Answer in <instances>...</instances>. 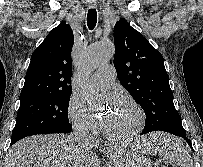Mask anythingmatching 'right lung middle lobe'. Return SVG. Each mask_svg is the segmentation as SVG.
Masks as SVG:
<instances>
[{
	"mask_svg": "<svg viewBox=\"0 0 203 167\" xmlns=\"http://www.w3.org/2000/svg\"><path fill=\"white\" fill-rule=\"evenodd\" d=\"M71 92L36 96L20 102L11 142L36 134L67 133Z\"/></svg>",
	"mask_w": 203,
	"mask_h": 167,
	"instance_id": "1",
	"label": "right lung middle lobe"
}]
</instances>
